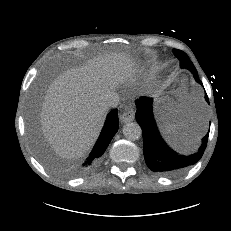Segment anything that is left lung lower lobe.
Returning a JSON list of instances; mask_svg holds the SVG:
<instances>
[{"mask_svg": "<svg viewBox=\"0 0 231 231\" xmlns=\"http://www.w3.org/2000/svg\"><path fill=\"white\" fill-rule=\"evenodd\" d=\"M202 85L199 77H194ZM205 100L209 103L207 94ZM136 119L143 132V153L147 166L153 171L165 176L178 175L197 163L207 146L208 136L202 139L197 152L191 155H181L173 151L161 138L152 113V99L143 97L136 102Z\"/></svg>", "mask_w": 231, "mask_h": 231, "instance_id": "1", "label": "left lung lower lobe"}]
</instances>
